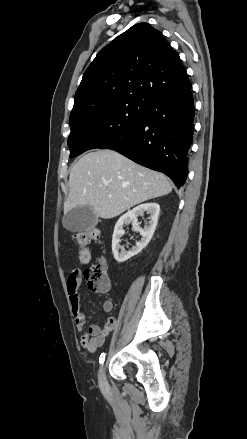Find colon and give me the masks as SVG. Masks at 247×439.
<instances>
[{
    "label": "colon",
    "mask_w": 247,
    "mask_h": 439,
    "mask_svg": "<svg viewBox=\"0 0 247 439\" xmlns=\"http://www.w3.org/2000/svg\"><path fill=\"white\" fill-rule=\"evenodd\" d=\"M75 244L79 247V263L86 265L90 262L91 253L88 249L90 243H100V232L96 228H89L79 231L73 237ZM88 288L95 293H104L110 287L107 266L104 259H98L94 264L84 271Z\"/></svg>",
    "instance_id": "5ec220e1"
}]
</instances>
